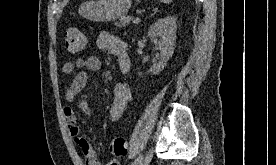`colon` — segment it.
Listing matches in <instances>:
<instances>
[{"instance_id":"colon-1","label":"colon","mask_w":276,"mask_h":165,"mask_svg":"<svg viewBox=\"0 0 276 165\" xmlns=\"http://www.w3.org/2000/svg\"><path fill=\"white\" fill-rule=\"evenodd\" d=\"M65 46L69 53L81 52L86 47L85 35L78 28H68L65 31ZM110 151L115 156L127 154V142L123 137H115L110 142Z\"/></svg>"}]
</instances>
